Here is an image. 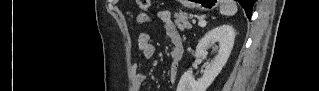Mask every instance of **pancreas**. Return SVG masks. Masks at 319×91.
Instances as JSON below:
<instances>
[{"instance_id": "pancreas-1", "label": "pancreas", "mask_w": 319, "mask_h": 91, "mask_svg": "<svg viewBox=\"0 0 319 91\" xmlns=\"http://www.w3.org/2000/svg\"><path fill=\"white\" fill-rule=\"evenodd\" d=\"M193 15H188L184 12H179L174 15L175 18V24L177 28L181 31H183L185 28L190 29L192 26L190 22L188 21L189 18H192Z\"/></svg>"}]
</instances>
